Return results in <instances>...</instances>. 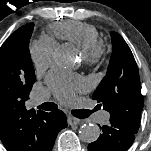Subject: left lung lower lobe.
Instances as JSON below:
<instances>
[{
  "label": "left lung lower lobe",
  "instance_id": "left-lung-lower-lobe-1",
  "mask_svg": "<svg viewBox=\"0 0 151 151\" xmlns=\"http://www.w3.org/2000/svg\"><path fill=\"white\" fill-rule=\"evenodd\" d=\"M101 129L99 138L89 144V151H126L134 142L135 133L114 121L110 120V123Z\"/></svg>",
  "mask_w": 151,
  "mask_h": 151
}]
</instances>
